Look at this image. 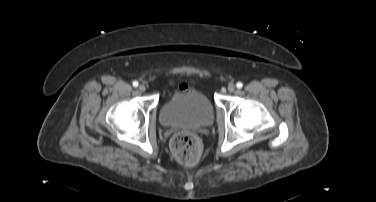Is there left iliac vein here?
<instances>
[{"instance_id":"4c4485c4","label":"left iliac vein","mask_w":376,"mask_h":202,"mask_svg":"<svg viewBox=\"0 0 376 202\" xmlns=\"http://www.w3.org/2000/svg\"><path fill=\"white\" fill-rule=\"evenodd\" d=\"M236 86L234 84H229L228 85V91L233 92L235 90Z\"/></svg>"}]
</instances>
